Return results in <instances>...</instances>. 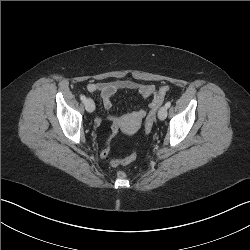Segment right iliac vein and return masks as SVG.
Wrapping results in <instances>:
<instances>
[{"label": "right iliac vein", "instance_id": "obj_1", "mask_svg": "<svg viewBox=\"0 0 250 250\" xmlns=\"http://www.w3.org/2000/svg\"><path fill=\"white\" fill-rule=\"evenodd\" d=\"M84 105H85V109L90 113L95 110V104L92 99H86V101L84 102Z\"/></svg>", "mask_w": 250, "mask_h": 250}]
</instances>
